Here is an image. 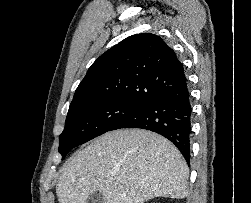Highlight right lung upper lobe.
<instances>
[{"label":"right lung upper lobe","mask_w":251,"mask_h":203,"mask_svg":"<svg viewBox=\"0 0 251 203\" xmlns=\"http://www.w3.org/2000/svg\"><path fill=\"white\" fill-rule=\"evenodd\" d=\"M175 52L157 35H132L89 68L70 105L94 101L146 104L185 80Z\"/></svg>","instance_id":"obj_1"}]
</instances>
